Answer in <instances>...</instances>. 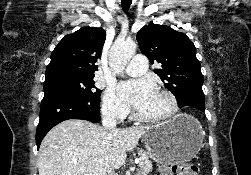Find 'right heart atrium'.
Instances as JSON below:
<instances>
[{
	"instance_id": "obj_1",
	"label": "right heart atrium",
	"mask_w": 251,
	"mask_h": 175,
	"mask_svg": "<svg viewBox=\"0 0 251 175\" xmlns=\"http://www.w3.org/2000/svg\"><path fill=\"white\" fill-rule=\"evenodd\" d=\"M101 109L107 118L118 122L127 120L131 116L129 107L118 98L114 88L105 90Z\"/></svg>"
}]
</instances>
